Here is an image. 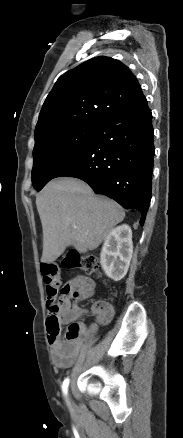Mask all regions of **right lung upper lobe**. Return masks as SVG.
Wrapping results in <instances>:
<instances>
[{
  "instance_id": "1",
  "label": "right lung upper lobe",
  "mask_w": 183,
  "mask_h": 438,
  "mask_svg": "<svg viewBox=\"0 0 183 438\" xmlns=\"http://www.w3.org/2000/svg\"><path fill=\"white\" fill-rule=\"evenodd\" d=\"M143 99L128 67L109 57L92 58L56 81L41 109L35 139L54 130L96 126Z\"/></svg>"
}]
</instances>
